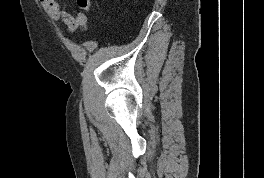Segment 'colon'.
Masks as SVG:
<instances>
[{
	"mask_svg": "<svg viewBox=\"0 0 264 178\" xmlns=\"http://www.w3.org/2000/svg\"><path fill=\"white\" fill-rule=\"evenodd\" d=\"M77 5L82 13L87 14L91 9V0H77Z\"/></svg>",
	"mask_w": 264,
	"mask_h": 178,
	"instance_id": "1",
	"label": "colon"
}]
</instances>
